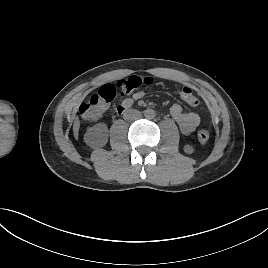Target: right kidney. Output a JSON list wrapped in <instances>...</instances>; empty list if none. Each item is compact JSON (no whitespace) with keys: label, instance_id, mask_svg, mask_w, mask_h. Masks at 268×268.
Masks as SVG:
<instances>
[{"label":"right kidney","instance_id":"right-kidney-1","mask_svg":"<svg viewBox=\"0 0 268 268\" xmlns=\"http://www.w3.org/2000/svg\"><path fill=\"white\" fill-rule=\"evenodd\" d=\"M84 141L87 145L93 148L106 145L108 141L107 125L104 123H98L89 128L84 135Z\"/></svg>","mask_w":268,"mask_h":268}]
</instances>
